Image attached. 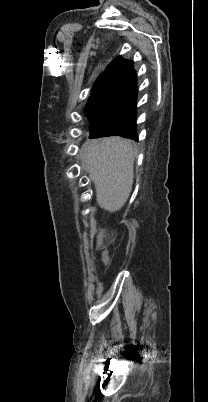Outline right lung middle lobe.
I'll use <instances>...</instances> for the list:
<instances>
[{
    "label": "right lung middle lobe",
    "mask_w": 208,
    "mask_h": 402,
    "mask_svg": "<svg viewBox=\"0 0 208 402\" xmlns=\"http://www.w3.org/2000/svg\"><path fill=\"white\" fill-rule=\"evenodd\" d=\"M124 100L121 98V94L117 90L108 88L100 93H93L89 98L85 113L90 120L95 118L111 119L116 122L118 119L122 103Z\"/></svg>",
    "instance_id": "1"
}]
</instances>
